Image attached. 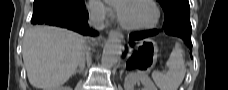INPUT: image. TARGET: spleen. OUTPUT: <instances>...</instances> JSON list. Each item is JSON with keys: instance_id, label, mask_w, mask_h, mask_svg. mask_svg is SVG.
I'll return each instance as SVG.
<instances>
[{"instance_id": "1", "label": "spleen", "mask_w": 228, "mask_h": 90, "mask_svg": "<svg viewBox=\"0 0 228 90\" xmlns=\"http://www.w3.org/2000/svg\"><path fill=\"white\" fill-rule=\"evenodd\" d=\"M166 66L168 67L166 73L154 71L152 79L160 90H177L186 73L183 50L180 45H175L166 62Z\"/></svg>"}]
</instances>
